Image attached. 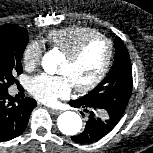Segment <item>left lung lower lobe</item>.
<instances>
[{
    "label": "left lung lower lobe",
    "mask_w": 153,
    "mask_h": 153,
    "mask_svg": "<svg viewBox=\"0 0 153 153\" xmlns=\"http://www.w3.org/2000/svg\"><path fill=\"white\" fill-rule=\"evenodd\" d=\"M73 107H82L89 113V119L86 122L85 130L71 139L77 143L90 144L96 142L107 135L119 122L109 117L100 109L98 104L85 103L78 100L69 103Z\"/></svg>",
    "instance_id": "1"
}]
</instances>
